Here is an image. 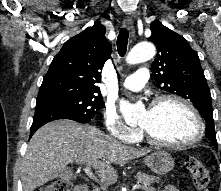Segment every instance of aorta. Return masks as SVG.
Masks as SVG:
<instances>
[{
    "label": "aorta",
    "instance_id": "762f6f07",
    "mask_svg": "<svg viewBox=\"0 0 221 191\" xmlns=\"http://www.w3.org/2000/svg\"><path fill=\"white\" fill-rule=\"evenodd\" d=\"M156 54L155 46L150 42H142L135 45L128 53L126 61L128 64H137L152 59ZM143 108L127 101H120V111L127 123L137 119Z\"/></svg>",
    "mask_w": 221,
    "mask_h": 191
}]
</instances>
